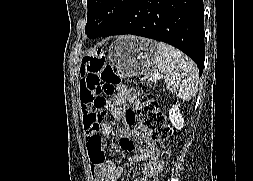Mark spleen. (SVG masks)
Here are the masks:
<instances>
[{
	"label": "spleen",
	"mask_w": 253,
	"mask_h": 181,
	"mask_svg": "<svg viewBox=\"0 0 253 181\" xmlns=\"http://www.w3.org/2000/svg\"><path fill=\"white\" fill-rule=\"evenodd\" d=\"M158 76L164 78L167 89L183 100L194 98L198 92L199 71L194 62L174 47L157 43Z\"/></svg>",
	"instance_id": "3e777b00"
}]
</instances>
